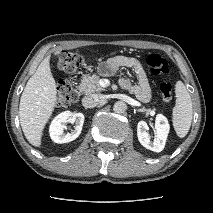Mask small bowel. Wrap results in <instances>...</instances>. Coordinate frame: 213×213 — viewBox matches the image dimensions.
<instances>
[{"mask_svg": "<svg viewBox=\"0 0 213 213\" xmlns=\"http://www.w3.org/2000/svg\"><path fill=\"white\" fill-rule=\"evenodd\" d=\"M121 67L132 68L137 77V83H132L128 79L122 78L120 86L133 92L141 101H148L151 97V89L141 63L134 57L119 55L111 58L104 66V69L107 74H111Z\"/></svg>", "mask_w": 213, "mask_h": 213, "instance_id": "1", "label": "small bowel"}]
</instances>
